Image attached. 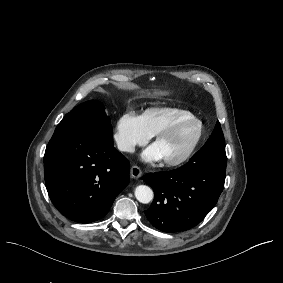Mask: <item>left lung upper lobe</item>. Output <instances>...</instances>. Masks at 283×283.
I'll return each instance as SVG.
<instances>
[{
  "label": "left lung upper lobe",
  "mask_w": 283,
  "mask_h": 283,
  "mask_svg": "<svg viewBox=\"0 0 283 283\" xmlns=\"http://www.w3.org/2000/svg\"><path fill=\"white\" fill-rule=\"evenodd\" d=\"M211 143H218L222 146H225L224 135L219 122H217L213 133L211 134L210 138L207 140L205 144H211Z\"/></svg>",
  "instance_id": "5c2ea615"
}]
</instances>
